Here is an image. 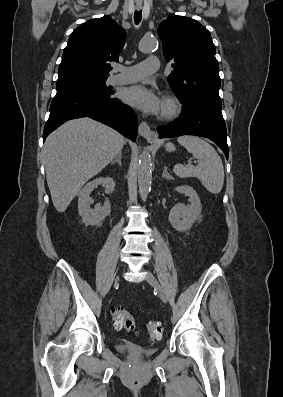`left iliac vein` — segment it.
Segmentation results:
<instances>
[{
	"instance_id": "left-iliac-vein-1",
	"label": "left iliac vein",
	"mask_w": 283,
	"mask_h": 397,
	"mask_svg": "<svg viewBox=\"0 0 283 397\" xmlns=\"http://www.w3.org/2000/svg\"><path fill=\"white\" fill-rule=\"evenodd\" d=\"M146 280H147V282L150 285H152L157 290L160 299L164 303H167V296H166L165 292L163 291V289L159 285V283H158L157 279L155 278V276L149 271H146Z\"/></svg>"
}]
</instances>
